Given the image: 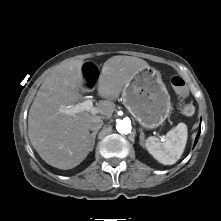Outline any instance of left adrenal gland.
Listing matches in <instances>:
<instances>
[{"mask_svg":"<svg viewBox=\"0 0 221 221\" xmlns=\"http://www.w3.org/2000/svg\"><path fill=\"white\" fill-rule=\"evenodd\" d=\"M139 131H140V145H141L142 147H144V144H143V141H144V132H143L142 129H139Z\"/></svg>","mask_w":221,"mask_h":221,"instance_id":"left-adrenal-gland-1","label":"left adrenal gland"}]
</instances>
